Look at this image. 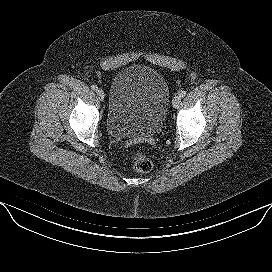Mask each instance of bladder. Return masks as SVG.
Segmentation results:
<instances>
[{"instance_id":"31cf9c89","label":"bladder","mask_w":272,"mask_h":272,"mask_svg":"<svg viewBox=\"0 0 272 272\" xmlns=\"http://www.w3.org/2000/svg\"><path fill=\"white\" fill-rule=\"evenodd\" d=\"M169 102L168 83L159 71L143 64L127 66L111 82L107 130L121 139L152 137L165 123Z\"/></svg>"}]
</instances>
